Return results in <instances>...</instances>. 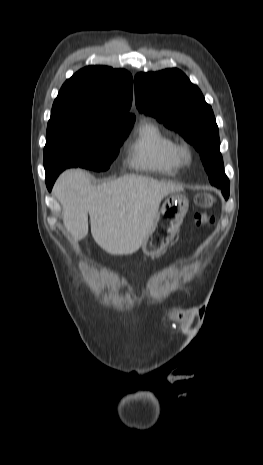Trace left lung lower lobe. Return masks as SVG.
I'll list each match as a JSON object with an SVG mask.
<instances>
[{
    "label": "left lung lower lobe",
    "instance_id": "obj_1",
    "mask_svg": "<svg viewBox=\"0 0 263 465\" xmlns=\"http://www.w3.org/2000/svg\"><path fill=\"white\" fill-rule=\"evenodd\" d=\"M204 167L209 175L211 184H215V174L221 169L220 161L211 155L201 157Z\"/></svg>",
    "mask_w": 263,
    "mask_h": 465
}]
</instances>
